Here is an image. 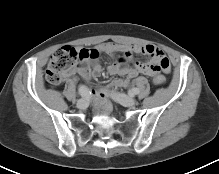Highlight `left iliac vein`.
I'll list each match as a JSON object with an SVG mask.
<instances>
[{
  "instance_id": "obj_1",
  "label": "left iliac vein",
  "mask_w": 219,
  "mask_h": 174,
  "mask_svg": "<svg viewBox=\"0 0 219 174\" xmlns=\"http://www.w3.org/2000/svg\"><path fill=\"white\" fill-rule=\"evenodd\" d=\"M110 96L126 107H133L137 103V101L133 97L125 95L123 93L111 92Z\"/></svg>"
}]
</instances>
